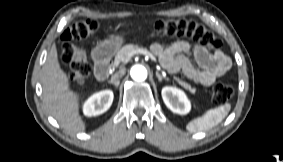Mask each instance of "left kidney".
<instances>
[{
    "label": "left kidney",
    "instance_id": "5707ae66",
    "mask_svg": "<svg viewBox=\"0 0 283 162\" xmlns=\"http://www.w3.org/2000/svg\"><path fill=\"white\" fill-rule=\"evenodd\" d=\"M161 94L165 105L173 113L186 115L190 112L191 103L182 90L172 86H165L162 88Z\"/></svg>",
    "mask_w": 283,
    "mask_h": 162
}]
</instances>
